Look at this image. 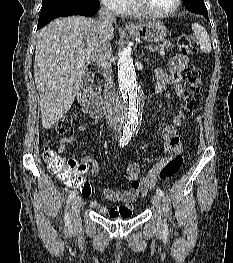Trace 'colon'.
Segmentation results:
<instances>
[{"label": "colon", "instance_id": "obj_1", "mask_svg": "<svg viewBox=\"0 0 233 263\" xmlns=\"http://www.w3.org/2000/svg\"><path fill=\"white\" fill-rule=\"evenodd\" d=\"M178 43L184 54L194 55L196 53V48L188 35H181ZM183 74L185 78V104L175 119L178 125L191 118L203 105L201 70L196 66L189 65L184 69ZM55 130L61 135H70L73 130V118L71 116L62 117L56 123ZM44 160L52 174L57 175L61 180L69 181L66 183L67 189H77L79 195H90L91 188L84 177L90 175L89 171H74L76 164L72 159L68 160L50 148L45 149ZM182 164L183 157L178 155L156 170L154 177L161 180L169 179L178 173Z\"/></svg>", "mask_w": 233, "mask_h": 263}]
</instances>
